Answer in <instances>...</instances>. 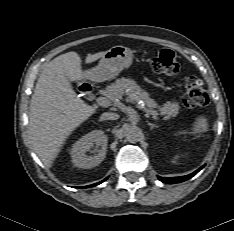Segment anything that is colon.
Instances as JSON below:
<instances>
[{
	"instance_id": "colon-1",
	"label": "colon",
	"mask_w": 234,
	"mask_h": 231,
	"mask_svg": "<svg viewBox=\"0 0 234 231\" xmlns=\"http://www.w3.org/2000/svg\"><path fill=\"white\" fill-rule=\"evenodd\" d=\"M154 72L165 75H176L180 66L175 53L169 49L161 50L151 61ZM182 103L187 108L204 107L209 103V96L196 77L186 81Z\"/></svg>"
}]
</instances>
